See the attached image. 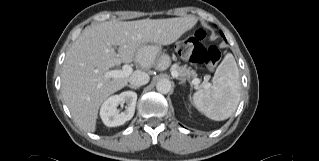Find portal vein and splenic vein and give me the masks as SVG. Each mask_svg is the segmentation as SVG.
<instances>
[{
    "label": "portal vein and splenic vein",
    "mask_w": 319,
    "mask_h": 161,
    "mask_svg": "<svg viewBox=\"0 0 319 161\" xmlns=\"http://www.w3.org/2000/svg\"><path fill=\"white\" fill-rule=\"evenodd\" d=\"M132 73V67L128 64H125L121 70H110L104 73L105 78H123L128 77ZM171 74L173 77H178L179 73L176 70H172ZM199 83V79H193V84L197 85Z\"/></svg>",
    "instance_id": "1"
}]
</instances>
